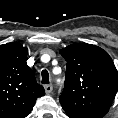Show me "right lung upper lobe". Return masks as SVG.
Masks as SVG:
<instances>
[{
	"mask_svg": "<svg viewBox=\"0 0 118 118\" xmlns=\"http://www.w3.org/2000/svg\"><path fill=\"white\" fill-rule=\"evenodd\" d=\"M26 60L20 43L0 45V118H25L45 94Z\"/></svg>",
	"mask_w": 118,
	"mask_h": 118,
	"instance_id": "obj_1",
	"label": "right lung upper lobe"
}]
</instances>
